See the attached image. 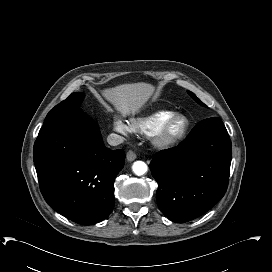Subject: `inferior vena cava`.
Instances as JSON below:
<instances>
[{"mask_svg": "<svg viewBox=\"0 0 272 272\" xmlns=\"http://www.w3.org/2000/svg\"><path fill=\"white\" fill-rule=\"evenodd\" d=\"M107 142L111 146H117L124 142V138L118 134L112 133L108 135Z\"/></svg>", "mask_w": 272, "mask_h": 272, "instance_id": "602c4592", "label": "inferior vena cava"}]
</instances>
